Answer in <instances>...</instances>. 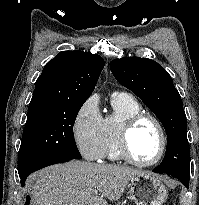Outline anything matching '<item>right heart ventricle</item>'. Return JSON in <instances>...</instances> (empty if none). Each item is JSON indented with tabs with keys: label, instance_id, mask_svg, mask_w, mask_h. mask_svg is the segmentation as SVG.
Listing matches in <instances>:
<instances>
[{
	"label": "right heart ventricle",
	"instance_id": "1",
	"mask_svg": "<svg viewBox=\"0 0 199 205\" xmlns=\"http://www.w3.org/2000/svg\"><path fill=\"white\" fill-rule=\"evenodd\" d=\"M112 113L102 119L103 157L110 161H120L117 139L122 122L131 115L141 112V106L136 99L125 93H116L111 99Z\"/></svg>",
	"mask_w": 199,
	"mask_h": 205
}]
</instances>
